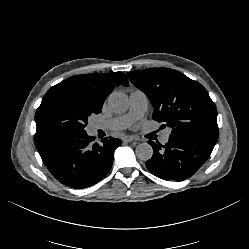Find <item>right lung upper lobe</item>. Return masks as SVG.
<instances>
[{
    "instance_id": "cb5924a9",
    "label": "right lung upper lobe",
    "mask_w": 249,
    "mask_h": 249,
    "mask_svg": "<svg viewBox=\"0 0 249 249\" xmlns=\"http://www.w3.org/2000/svg\"><path fill=\"white\" fill-rule=\"evenodd\" d=\"M119 85L129 86L122 72L76 75L51 87L44 95L42 102L57 95L71 94L85 99L92 107L101 110L106 97ZM43 139L45 138L36 133L34 142L38 143Z\"/></svg>"
}]
</instances>
